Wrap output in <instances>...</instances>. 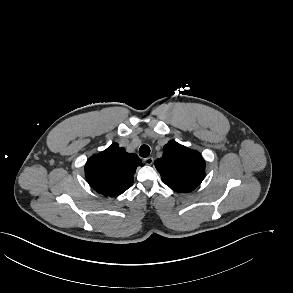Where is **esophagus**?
I'll use <instances>...</instances> for the list:
<instances>
[{"label": "esophagus", "mask_w": 293, "mask_h": 293, "mask_svg": "<svg viewBox=\"0 0 293 293\" xmlns=\"http://www.w3.org/2000/svg\"><path fill=\"white\" fill-rule=\"evenodd\" d=\"M144 163H145L146 165H152V163H153V158H152V157H147V158H145V159H144Z\"/></svg>", "instance_id": "obj_1"}]
</instances>
